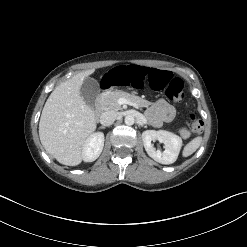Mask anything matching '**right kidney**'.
Returning <instances> with one entry per match:
<instances>
[{"instance_id":"right-kidney-1","label":"right kidney","mask_w":247,"mask_h":247,"mask_svg":"<svg viewBox=\"0 0 247 247\" xmlns=\"http://www.w3.org/2000/svg\"><path fill=\"white\" fill-rule=\"evenodd\" d=\"M104 147V134L96 132L92 134L84 144L82 150L83 160L85 162L95 161L101 154Z\"/></svg>"}]
</instances>
